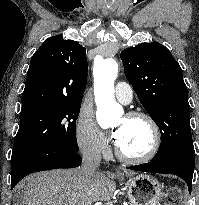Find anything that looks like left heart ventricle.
Listing matches in <instances>:
<instances>
[{
    "label": "left heart ventricle",
    "mask_w": 199,
    "mask_h": 205,
    "mask_svg": "<svg viewBox=\"0 0 199 205\" xmlns=\"http://www.w3.org/2000/svg\"><path fill=\"white\" fill-rule=\"evenodd\" d=\"M112 126L122 130L117 143L125 154L139 156L149 149L151 130L143 119H129L121 116L113 121Z\"/></svg>",
    "instance_id": "left-heart-ventricle-1"
}]
</instances>
